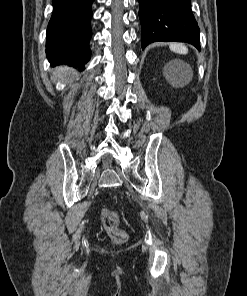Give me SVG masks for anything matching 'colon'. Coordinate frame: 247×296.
Wrapping results in <instances>:
<instances>
[{"label":"colon","instance_id":"obj_1","mask_svg":"<svg viewBox=\"0 0 247 296\" xmlns=\"http://www.w3.org/2000/svg\"><path fill=\"white\" fill-rule=\"evenodd\" d=\"M102 224L108 235L117 243H123L126 240V232L119 226V217L116 212L110 209L102 211Z\"/></svg>","mask_w":247,"mask_h":296}]
</instances>
